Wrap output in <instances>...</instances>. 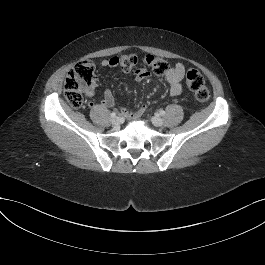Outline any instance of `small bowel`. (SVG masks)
Segmentation results:
<instances>
[{"instance_id":"c3829d8e","label":"small bowel","mask_w":265,"mask_h":265,"mask_svg":"<svg viewBox=\"0 0 265 265\" xmlns=\"http://www.w3.org/2000/svg\"><path fill=\"white\" fill-rule=\"evenodd\" d=\"M101 65L103 67H116L117 66L113 62L112 58L103 60ZM184 75H185V66L182 63H177L174 67L170 69L168 74H166L165 79L169 84L170 96L176 97L182 93V90H183L182 80L184 78ZM149 76H150L149 71L144 67L138 68L134 72V79L137 82L145 80ZM85 94L88 97H92L95 94L94 88L85 90ZM88 104L89 106L95 105L93 102H89ZM100 104L106 107H113L115 105V98L110 89L107 88L104 90L103 99L100 102ZM146 108L147 106L145 104L141 105L135 111L122 108L120 109V114L129 119H136L143 115V113L146 111Z\"/></svg>"}]
</instances>
